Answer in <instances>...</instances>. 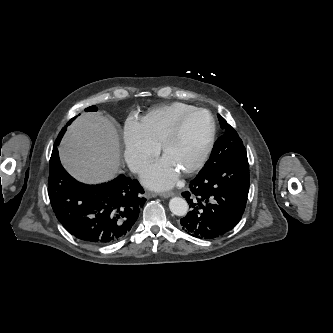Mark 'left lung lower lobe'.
Returning <instances> with one entry per match:
<instances>
[{
	"label": "left lung lower lobe",
	"instance_id": "1",
	"mask_svg": "<svg viewBox=\"0 0 333 333\" xmlns=\"http://www.w3.org/2000/svg\"><path fill=\"white\" fill-rule=\"evenodd\" d=\"M249 185L247 155L204 166L189 189L182 193L191 211L180 220V228L203 239L229 232L245 211Z\"/></svg>",
	"mask_w": 333,
	"mask_h": 333
}]
</instances>
